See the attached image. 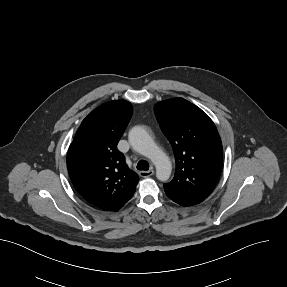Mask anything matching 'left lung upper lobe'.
<instances>
[{"mask_svg": "<svg viewBox=\"0 0 287 287\" xmlns=\"http://www.w3.org/2000/svg\"><path fill=\"white\" fill-rule=\"evenodd\" d=\"M154 111L176 159L175 175L164 184L165 192L185 201H204L222 170V143L214 123L183 98L158 102Z\"/></svg>", "mask_w": 287, "mask_h": 287, "instance_id": "1", "label": "left lung upper lobe"}]
</instances>
